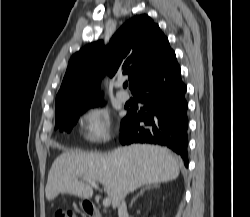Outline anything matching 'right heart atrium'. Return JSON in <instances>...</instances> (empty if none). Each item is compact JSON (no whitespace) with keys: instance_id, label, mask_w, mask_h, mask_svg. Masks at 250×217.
<instances>
[{"instance_id":"1","label":"right heart atrium","mask_w":250,"mask_h":217,"mask_svg":"<svg viewBox=\"0 0 250 217\" xmlns=\"http://www.w3.org/2000/svg\"><path fill=\"white\" fill-rule=\"evenodd\" d=\"M82 138L89 143H101L110 138L111 121L106 109L90 106L78 118Z\"/></svg>"}]
</instances>
